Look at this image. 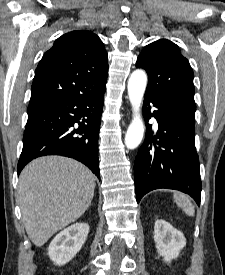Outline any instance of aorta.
Masks as SVG:
<instances>
[{
  "mask_svg": "<svg viewBox=\"0 0 225 275\" xmlns=\"http://www.w3.org/2000/svg\"><path fill=\"white\" fill-rule=\"evenodd\" d=\"M147 85V75L143 70H135L128 80V96L133 110V119L125 135V145L135 149L142 141L144 124L140 115V107Z\"/></svg>",
  "mask_w": 225,
  "mask_h": 275,
  "instance_id": "762f6f07",
  "label": "aorta"
}]
</instances>
